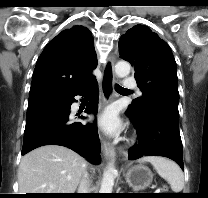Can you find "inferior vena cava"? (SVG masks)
<instances>
[{
	"label": "inferior vena cava",
	"instance_id": "602c4592",
	"mask_svg": "<svg viewBox=\"0 0 208 198\" xmlns=\"http://www.w3.org/2000/svg\"><path fill=\"white\" fill-rule=\"evenodd\" d=\"M87 178H88V174L86 171H84L83 173V177L80 181V185H79V188H78V193H88V181H87Z\"/></svg>",
	"mask_w": 208,
	"mask_h": 198
}]
</instances>
